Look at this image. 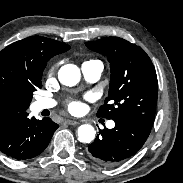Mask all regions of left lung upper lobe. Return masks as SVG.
I'll return each instance as SVG.
<instances>
[{"mask_svg": "<svg viewBox=\"0 0 183 183\" xmlns=\"http://www.w3.org/2000/svg\"><path fill=\"white\" fill-rule=\"evenodd\" d=\"M85 44L106 56L110 63L109 93L97 116L112 120L128 117L153 126L158 82L153 63L145 51L119 37Z\"/></svg>", "mask_w": 183, "mask_h": 183, "instance_id": "5c2ea615", "label": "left lung upper lobe"}]
</instances>
